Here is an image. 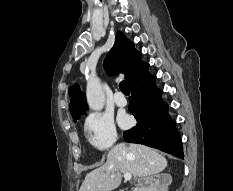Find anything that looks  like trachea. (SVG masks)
<instances>
[{"mask_svg": "<svg viewBox=\"0 0 233 191\" xmlns=\"http://www.w3.org/2000/svg\"><path fill=\"white\" fill-rule=\"evenodd\" d=\"M119 88L124 94L129 93V89H128L127 83L125 81L120 82Z\"/></svg>", "mask_w": 233, "mask_h": 191, "instance_id": "trachea-1", "label": "trachea"}]
</instances>
